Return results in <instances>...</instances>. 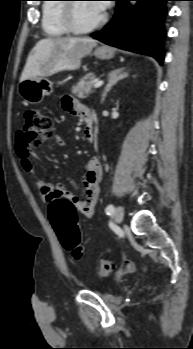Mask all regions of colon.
Returning a JSON list of instances; mask_svg holds the SVG:
<instances>
[{
  "instance_id": "1",
  "label": "colon",
  "mask_w": 193,
  "mask_h": 349,
  "mask_svg": "<svg viewBox=\"0 0 193 349\" xmlns=\"http://www.w3.org/2000/svg\"><path fill=\"white\" fill-rule=\"evenodd\" d=\"M22 132L28 146H37L54 136V124L51 117L42 109L30 108L25 112ZM48 216L63 248L76 260L81 259L83 247L77 225L76 206L66 199L52 201L48 207ZM113 269L112 261L101 259L97 263L96 273L104 277Z\"/></svg>"
}]
</instances>
